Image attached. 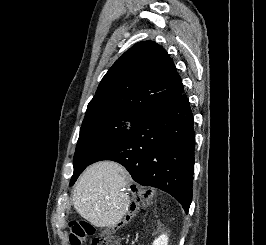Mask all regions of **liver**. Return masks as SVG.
I'll use <instances>...</instances> for the list:
<instances>
[{
    "mask_svg": "<svg viewBox=\"0 0 266 245\" xmlns=\"http://www.w3.org/2000/svg\"><path fill=\"white\" fill-rule=\"evenodd\" d=\"M129 173L112 161L88 167L77 181L73 193L74 207L94 227H115L126 215Z\"/></svg>",
    "mask_w": 266,
    "mask_h": 245,
    "instance_id": "1",
    "label": "liver"
}]
</instances>
